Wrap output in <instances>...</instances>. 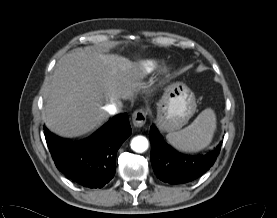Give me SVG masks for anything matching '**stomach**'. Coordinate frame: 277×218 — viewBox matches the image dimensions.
Here are the masks:
<instances>
[{
	"label": "stomach",
	"mask_w": 277,
	"mask_h": 218,
	"mask_svg": "<svg viewBox=\"0 0 277 218\" xmlns=\"http://www.w3.org/2000/svg\"><path fill=\"white\" fill-rule=\"evenodd\" d=\"M196 108L194 93L184 83H173L157 103V125L164 132L178 130L188 123Z\"/></svg>",
	"instance_id": "1"
}]
</instances>
